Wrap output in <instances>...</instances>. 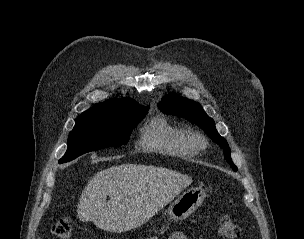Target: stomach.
Returning <instances> with one entry per match:
<instances>
[{"label":"stomach","mask_w":304,"mask_h":239,"mask_svg":"<svg viewBox=\"0 0 304 239\" xmlns=\"http://www.w3.org/2000/svg\"><path fill=\"white\" fill-rule=\"evenodd\" d=\"M205 190L201 187L190 188L182 193L163 213V218L183 220L189 217L204 201Z\"/></svg>","instance_id":"1"}]
</instances>
